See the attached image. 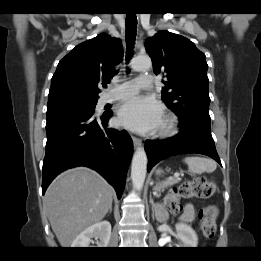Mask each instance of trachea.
<instances>
[{"label":"trachea","instance_id":"3493384b","mask_svg":"<svg viewBox=\"0 0 261 261\" xmlns=\"http://www.w3.org/2000/svg\"><path fill=\"white\" fill-rule=\"evenodd\" d=\"M136 30H137V17L135 14L130 13L126 16V42H127L126 60L127 61L131 57L132 48L136 37Z\"/></svg>","mask_w":261,"mask_h":261}]
</instances>
